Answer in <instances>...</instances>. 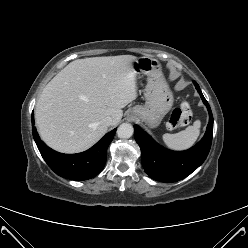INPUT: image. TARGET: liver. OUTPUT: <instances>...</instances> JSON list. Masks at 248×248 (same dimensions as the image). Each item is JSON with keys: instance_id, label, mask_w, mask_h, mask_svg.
I'll return each instance as SVG.
<instances>
[{"instance_id": "1", "label": "liver", "mask_w": 248, "mask_h": 248, "mask_svg": "<svg viewBox=\"0 0 248 248\" xmlns=\"http://www.w3.org/2000/svg\"><path fill=\"white\" fill-rule=\"evenodd\" d=\"M136 59L92 57L63 68L36 104V125L43 141L60 152H82L107 132L104 117H112V125H117L122 108L137 98V74L131 65Z\"/></svg>"}]
</instances>
